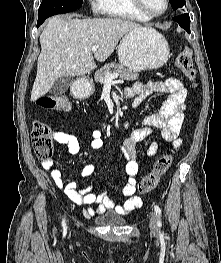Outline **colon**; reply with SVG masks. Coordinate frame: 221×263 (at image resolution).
<instances>
[{"label": "colon", "mask_w": 221, "mask_h": 263, "mask_svg": "<svg viewBox=\"0 0 221 263\" xmlns=\"http://www.w3.org/2000/svg\"><path fill=\"white\" fill-rule=\"evenodd\" d=\"M175 66L191 81L195 79V69L191 53L188 50L180 51L175 57ZM37 106L43 109L66 111L70 109L69 100L63 95H43L36 100ZM53 129L40 121L33 124L32 145L36 156L43 161L49 160L52 154ZM173 155L167 153L159 157L152 170L143 177L138 184L141 194L150 192L156 187L162 175L169 169Z\"/></svg>", "instance_id": "5ec220e1"}]
</instances>
